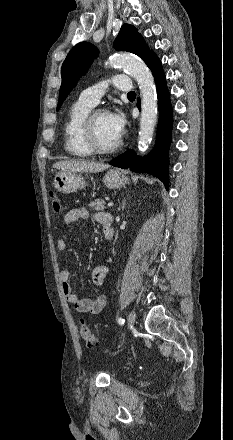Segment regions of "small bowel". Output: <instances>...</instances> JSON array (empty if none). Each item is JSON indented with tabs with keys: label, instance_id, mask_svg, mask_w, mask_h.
Wrapping results in <instances>:
<instances>
[{
	"label": "small bowel",
	"instance_id": "c3829d8e",
	"mask_svg": "<svg viewBox=\"0 0 233 440\" xmlns=\"http://www.w3.org/2000/svg\"><path fill=\"white\" fill-rule=\"evenodd\" d=\"M106 216H111L106 212H97L94 215V219L102 224V220ZM89 217V212L84 207H78L71 209L64 216V222L74 223L78 220H85ZM57 248L59 251H65L67 249V242L64 239H59L57 241ZM108 274V267L106 265H98L96 266L91 274L92 281L95 285H103L105 282V278ZM60 279L62 283V291L66 296L67 301L75 308V310L79 313H90V314H99L103 311L106 304V296L100 295L94 299H86L78 297L74 291L72 284L70 283L71 271L68 268H62L60 270Z\"/></svg>",
	"mask_w": 233,
	"mask_h": 440
}]
</instances>
